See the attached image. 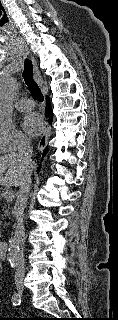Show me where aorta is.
Instances as JSON below:
<instances>
[{"label":"aorta","instance_id":"obj_1","mask_svg":"<svg viewBox=\"0 0 118 320\" xmlns=\"http://www.w3.org/2000/svg\"><path fill=\"white\" fill-rule=\"evenodd\" d=\"M17 91V82L13 77L0 79V124L8 126L13 119V101ZM19 244L16 237L9 238L8 261L15 266L19 257Z\"/></svg>","mask_w":118,"mask_h":320}]
</instances>
